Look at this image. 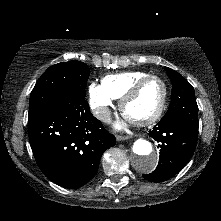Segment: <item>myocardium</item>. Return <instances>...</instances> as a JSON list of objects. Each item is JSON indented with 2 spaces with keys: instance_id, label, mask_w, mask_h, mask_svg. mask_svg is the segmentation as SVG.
I'll use <instances>...</instances> for the list:
<instances>
[{
  "instance_id": "myocardium-1",
  "label": "myocardium",
  "mask_w": 221,
  "mask_h": 221,
  "mask_svg": "<svg viewBox=\"0 0 221 221\" xmlns=\"http://www.w3.org/2000/svg\"><path fill=\"white\" fill-rule=\"evenodd\" d=\"M150 80H158L162 85V98L161 102L157 108V110L149 117L144 119H133L130 118L126 114V106L127 104L139 93L141 88ZM167 97H168V88L167 84L164 81V79L158 75L149 74L141 79H139L121 98L119 103V108L122 113V115L129 120L131 123L138 125V126H146L154 123L157 121L163 114L166 103H167Z\"/></svg>"
}]
</instances>
